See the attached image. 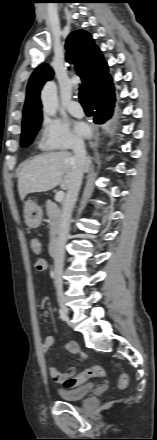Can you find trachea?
Listing matches in <instances>:
<instances>
[{
	"label": "trachea",
	"mask_w": 157,
	"mask_h": 440,
	"mask_svg": "<svg viewBox=\"0 0 157 440\" xmlns=\"http://www.w3.org/2000/svg\"><path fill=\"white\" fill-rule=\"evenodd\" d=\"M79 90H80V92H79L80 103L82 104L85 112L93 113V105H92V102L90 100L88 93L86 92V90L82 86L79 88Z\"/></svg>",
	"instance_id": "trachea-1"
}]
</instances>
